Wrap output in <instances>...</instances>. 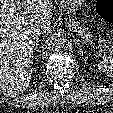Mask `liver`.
Returning a JSON list of instances; mask_svg holds the SVG:
<instances>
[{"label":"liver","instance_id":"liver-1","mask_svg":"<svg viewBox=\"0 0 113 113\" xmlns=\"http://www.w3.org/2000/svg\"><path fill=\"white\" fill-rule=\"evenodd\" d=\"M51 8V0H0V89L10 96L30 85L36 30L50 28Z\"/></svg>","mask_w":113,"mask_h":113}]
</instances>
